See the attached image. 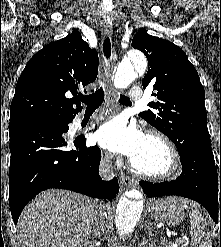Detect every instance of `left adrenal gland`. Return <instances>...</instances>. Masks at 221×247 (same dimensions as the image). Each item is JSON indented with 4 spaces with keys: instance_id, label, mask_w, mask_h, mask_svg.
Here are the masks:
<instances>
[{
    "instance_id": "left-adrenal-gland-1",
    "label": "left adrenal gland",
    "mask_w": 221,
    "mask_h": 247,
    "mask_svg": "<svg viewBox=\"0 0 221 247\" xmlns=\"http://www.w3.org/2000/svg\"><path fill=\"white\" fill-rule=\"evenodd\" d=\"M144 230H147L148 235L152 236V223L150 221L145 225Z\"/></svg>"
}]
</instances>
